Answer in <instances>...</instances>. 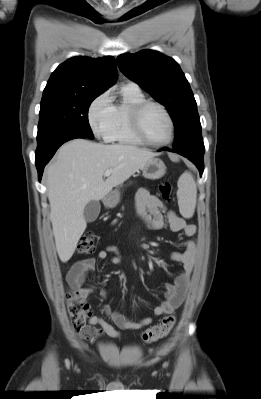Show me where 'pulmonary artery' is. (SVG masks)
Masks as SVG:
<instances>
[{
    "mask_svg": "<svg viewBox=\"0 0 261 399\" xmlns=\"http://www.w3.org/2000/svg\"><path fill=\"white\" fill-rule=\"evenodd\" d=\"M123 87L127 88V89H132V90H139V86L135 82H132V81H128L127 83L124 84Z\"/></svg>",
    "mask_w": 261,
    "mask_h": 399,
    "instance_id": "pulmonary-artery-1",
    "label": "pulmonary artery"
}]
</instances>
